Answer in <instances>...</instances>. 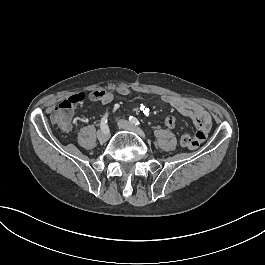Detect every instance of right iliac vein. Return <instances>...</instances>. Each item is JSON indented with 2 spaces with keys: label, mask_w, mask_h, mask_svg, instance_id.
I'll use <instances>...</instances> for the list:
<instances>
[{
  "label": "right iliac vein",
  "mask_w": 265,
  "mask_h": 265,
  "mask_svg": "<svg viewBox=\"0 0 265 265\" xmlns=\"http://www.w3.org/2000/svg\"><path fill=\"white\" fill-rule=\"evenodd\" d=\"M97 137L101 143H105L110 137V132L109 130L105 132L101 130L98 132Z\"/></svg>",
  "instance_id": "right-iliac-vein-1"
}]
</instances>
